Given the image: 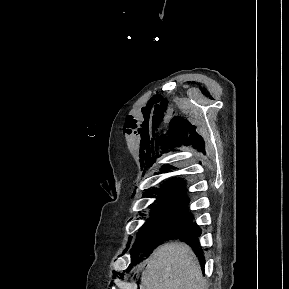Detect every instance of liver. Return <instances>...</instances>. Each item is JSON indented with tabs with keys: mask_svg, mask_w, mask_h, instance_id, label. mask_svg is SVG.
I'll return each instance as SVG.
<instances>
[{
	"mask_svg": "<svg viewBox=\"0 0 289 289\" xmlns=\"http://www.w3.org/2000/svg\"><path fill=\"white\" fill-rule=\"evenodd\" d=\"M140 289H205L192 249L178 241L159 246L146 261Z\"/></svg>",
	"mask_w": 289,
	"mask_h": 289,
	"instance_id": "liver-1",
	"label": "liver"
}]
</instances>
